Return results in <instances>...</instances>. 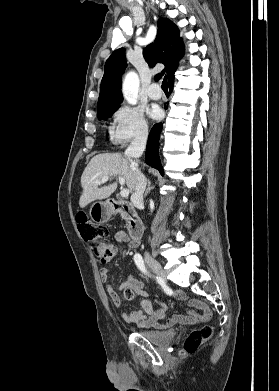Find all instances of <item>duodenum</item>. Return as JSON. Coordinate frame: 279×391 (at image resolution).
Here are the masks:
<instances>
[{"label": "duodenum", "mask_w": 279, "mask_h": 391, "mask_svg": "<svg viewBox=\"0 0 279 391\" xmlns=\"http://www.w3.org/2000/svg\"><path fill=\"white\" fill-rule=\"evenodd\" d=\"M108 207L112 214H121L125 218L128 224L131 245L139 243L144 231V224L131 203L128 201L111 199Z\"/></svg>", "instance_id": "410a0bca"}]
</instances>
